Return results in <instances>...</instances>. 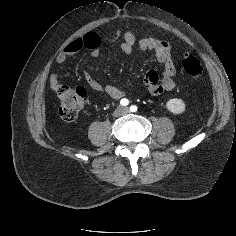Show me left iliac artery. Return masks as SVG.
Segmentation results:
<instances>
[{"mask_svg": "<svg viewBox=\"0 0 236 236\" xmlns=\"http://www.w3.org/2000/svg\"><path fill=\"white\" fill-rule=\"evenodd\" d=\"M130 111H131V112L137 111V107H136L135 105H132V106L130 107Z\"/></svg>", "mask_w": 236, "mask_h": 236, "instance_id": "44dca946", "label": "left iliac artery"}]
</instances>
